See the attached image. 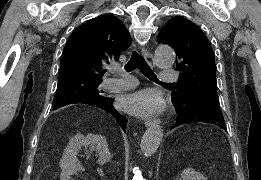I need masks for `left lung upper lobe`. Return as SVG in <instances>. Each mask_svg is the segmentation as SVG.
Listing matches in <instances>:
<instances>
[{"instance_id":"5c2ea615","label":"left lung upper lobe","mask_w":261,"mask_h":180,"mask_svg":"<svg viewBox=\"0 0 261 180\" xmlns=\"http://www.w3.org/2000/svg\"><path fill=\"white\" fill-rule=\"evenodd\" d=\"M159 43L171 45L177 55L178 88L172 100H183L189 93L219 104L216 89L214 53L203 31L183 17H174L159 32Z\"/></svg>"}]
</instances>
